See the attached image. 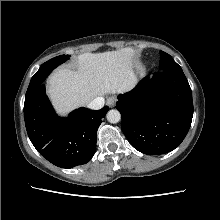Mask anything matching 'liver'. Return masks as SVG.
<instances>
[{
    "label": "liver",
    "mask_w": 220,
    "mask_h": 220,
    "mask_svg": "<svg viewBox=\"0 0 220 220\" xmlns=\"http://www.w3.org/2000/svg\"><path fill=\"white\" fill-rule=\"evenodd\" d=\"M132 48L77 57V69L61 68L48 79L47 92L56 111L65 115L96 97L125 93L137 81Z\"/></svg>",
    "instance_id": "1"
}]
</instances>
